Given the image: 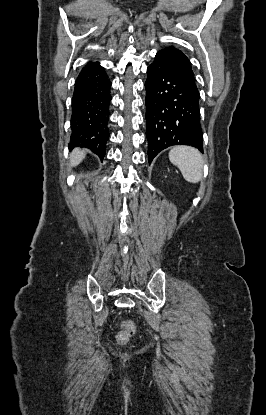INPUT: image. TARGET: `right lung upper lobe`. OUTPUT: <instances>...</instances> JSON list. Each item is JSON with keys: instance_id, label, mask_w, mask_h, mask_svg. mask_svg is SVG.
Returning <instances> with one entry per match:
<instances>
[{"instance_id": "obj_1", "label": "right lung upper lobe", "mask_w": 266, "mask_h": 415, "mask_svg": "<svg viewBox=\"0 0 266 415\" xmlns=\"http://www.w3.org/2000/svg\"><path fill=\"white\" fill-rule=\"evenodd\" d=\"M99 65V63L98 62H94V63H89V64H87L83 69H82V71H85V70H87V69H90V68H93V67H96V66H98Z\"/></svg>"}]
</instances>
